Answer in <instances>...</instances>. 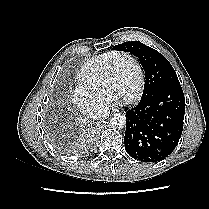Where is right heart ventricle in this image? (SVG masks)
Here are the masks:
<instances>
[{
  "instance_id": "1",
  "label": "right heart ventricle",
  "mask_w": 209,
  "mask_h": 209,
  "mask_svg": "<svg viewBox=\"0 0 209 209\" xmlns=\"http://www.w3.org/2000/svg\"><path fill=\"white\" fill-rule=\"evenodd\" d=\"M117 51L105 52L86 61L77 72L78 86L102 95V80L105 69Z\"/></svg>"
}]
</instances>
